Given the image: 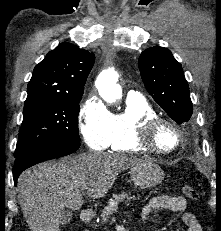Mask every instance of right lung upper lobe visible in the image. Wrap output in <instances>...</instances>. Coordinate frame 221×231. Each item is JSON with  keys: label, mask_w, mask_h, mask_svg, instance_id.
Returning <instances> with one entry per match:
<instances>
[{"label": "right lung upper lobe", "mask_w": 221, "mask_h": 231, "mask_svg": "<svg viewBox=\"0 0 221 231\" xmlns=\"http://www.w3.org/2000/svg\"><path fill=\"white\" fill-rule=\"evenodd\" d=\"M95 55L63 42L36 65L25 102L82 97Z\"/></svg>", "instance_id": "right-lung-upper-lobe-1"}]
</instances>
